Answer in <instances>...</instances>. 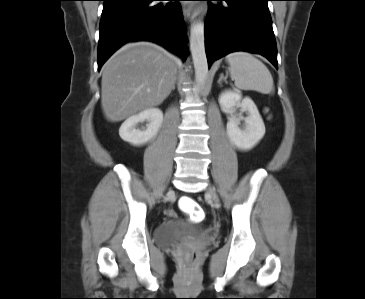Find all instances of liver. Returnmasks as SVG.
<instances>
[{
	"instance_id": "liver-1",
	"label": "liver",
	"mask_w": 365,
	"mask_h": 299,
	"mask_svg": "<svg viewBox=\"0 0 365 299\" xmlns=\"http://www.w3.org/2000/svg\"><path fill=\"white\" fill-rule=\"evenodd\" d=\"M177 58L150 42L129 43L103 66L101 105L105 117L119 122L160 105L170 94Z\"/></svg>"
}]
</instances>
